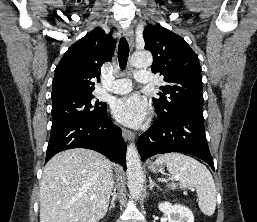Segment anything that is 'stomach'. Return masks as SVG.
Returning <instances> with one entry per match:
<instances>
[{"instance_id": "1", "label": "stomach", "mask_w": 257, "mask_h": 222, "mask_svg": "<svg viewBox=\"0 0 257 222\" xmlns=\"http://www.w3.org/2000/svg\"><path fill=\"white\" fill-rule=\"evenodd\" d=\"M149 169L153 172L161 171L163 169V166H162V164H158V163L154 162V163H150Z\"/></svg>"}]
</instances>
